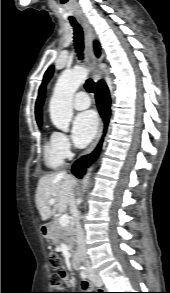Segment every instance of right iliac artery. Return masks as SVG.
I'll return each mask as SVG.
<instances>
[{
    "instance_id": "82829eb1",
    "label": "right iliac artery",
    "mask_w": 170,
    "mask_h": 293,
    "mask_svg": "<svg viewBox=\"0 0 170 293\" xmlns=\"http://www.w3.org/2000/svg\"><path fill=\"white\" fill-rule=\"evenodd\" d=\"M82 278H86L87 277V270L85 268H83V270L80 273Z\"/></svg>"
}]
</instances>
